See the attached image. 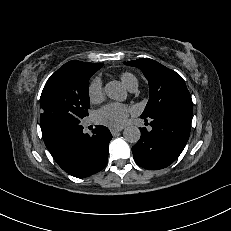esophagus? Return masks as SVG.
Here are the masks:
<instances>
[{
    "label": "esophagus",
    "instance_id": "obj_1",
    "mask_svg": "<svg viewBox=\"0 0 231 231\" xmlns=\"http://www.w3.org/2000/svg\"><path fill=\"white\" fill-rule=\"evenodd\" d=\"M110 131H111L112 135L115 136V135H117L119 132H121L122 129H121V128H119V129L111 128Z\"/></svg>",
    "mask_w": 231,
    "mask_h": 231
}]
</instances>
